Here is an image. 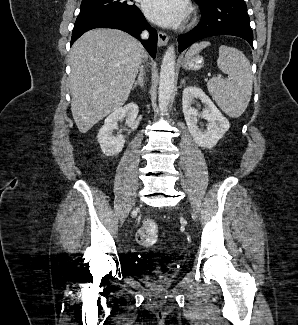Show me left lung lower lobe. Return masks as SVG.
<instances>
[{
	"label": "left lung lower lobe",
	"instance_id": "left-lung-lower-lobe-1",
	"mask_svg": "<svg viewBox=\"0 0 298 325\" xmlns=\"http://www.w3.org/2000/svg\"><path fill=\"white\" fill-rule=\"evenodd\" d=\"M200 7L201 21L193 30L178 38L179 52L201 39L215 35L241 37L253 48V32L244 0H213Z\"/></svg>",
	"mask_w": 298,
	"mask_h": 325
}]
</instances>
